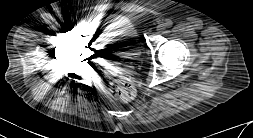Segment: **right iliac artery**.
Instances as JSON below:
<instances>
[{"label": "right iliac artery", "mask_w": 253, "mask_h": 138, "mask_svg": "<svg viewBox=\"0 0 253 138\" xmlns=\"http://www.w3.org/2000/svg\"><path fill=\"white\" fill-rule=\"evenodd\" d=\"M74 24V22L72 21V20H68L67 22H66V25L69 27V28H71V26Z\"/></svg>", "instance_id": "82829eb1"}]
</instances>
